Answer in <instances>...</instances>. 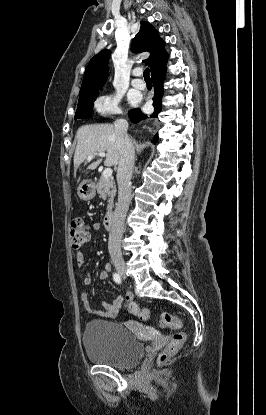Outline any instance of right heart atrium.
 <instances>
[{"instance_id": "d8ad5b80", "label": "right heart atrium", "mask_w": 266, "mask_h": 415, "mask_svg": "<svg viewBox=\"0 0 266 415\" xmlns=\"http://www.w3.org/2000/svg\"><path fill=\"white\" fill-rule=\"evenodd\" d=\"M119 97L116 95H105L98 98L95 102V108L102 114H115L119 112Z\"/></svg>"}]
</instances>
